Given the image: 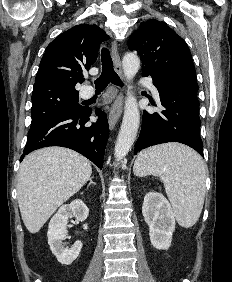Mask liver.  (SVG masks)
<instances>
[{
  "mask_svg": "<svg viewBox=\"0 0 232 282\" xmlns=\"http://www.w3.org/2000/svg\"><path fill=\"white\" fill-rule=\"evenodd\" d=\"M91 164L63 147H47L27 155L18 174V203L30 233L38 232L56 209L90 179Z\"/></svg>",
  "mask_w": 232,
  "mask_h": 282,
  "instance_id": "6515ba94",
  "label": "liver"
}]
</instances>
